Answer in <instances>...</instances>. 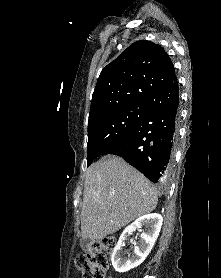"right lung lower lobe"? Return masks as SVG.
<instances>
[{
	"instance_id": "obj_1",
	"label": "right lung lower lobe",
	"mask_w": 221,
	"mask_h": 278,
	"mask_svg": "<svg viewBox=\"0 0 221 278\" xmlns=\"http://www.w3.org/2000/svg\"><path fill=\"white\" fill-rule=\"evenodd\" d=\"M145 102L147 112L139 123L101 155L121 156L157 183L167 179L171 166L179 117L178 81L155 91Z\"/></svg>"
}]
</instances>
